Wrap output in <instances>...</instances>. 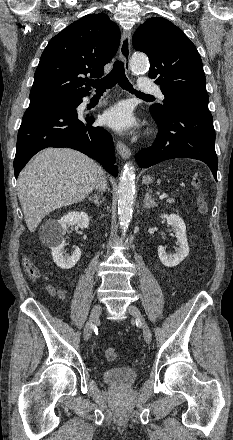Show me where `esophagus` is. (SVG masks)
<instances>
[{
	"mask_svg": "<svg viewBox=\"0 0 233 440\" xmlns=\"http://www.w3.org/2000/svg\"><path fill=\"white\" fill-rule=\"evenodd\" d=\"M131 53V34L130 32H124L121 39L119 55L124 63L125 69L129 70V60ZM118 154L123 159H128L131 156L130 149L121 141L117 142L116 145Z\"/></svg>",
	"mask_w": 233,
	"mask_h": 440,
	"instance_id": "1",
	"label": "esophagus"
}]
</instances>
